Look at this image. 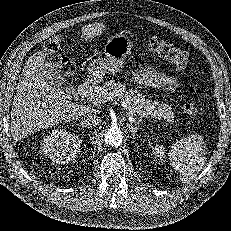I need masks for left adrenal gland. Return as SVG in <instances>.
<instances>
[{
	"instance_id": "obj_1",
	"label": "left adrenal gland",
	"mask_w": 231,
	"mask_h": 231,
	"mask_svg": "<svg viewBox=\"0 0 231 231\" xmlns=\"http://www.w3.org/2000/svg\"><path fill=\"white\" fill-rule=\"evenodd\" d=\"M140 122H141V119H139L137 122H135V125L127 124V128L132 133L133 139H135V136H136V133H137Z\"/></svg>"
}]
</instances>
